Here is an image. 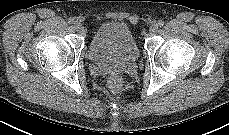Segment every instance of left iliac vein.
I'll list each match as a JSON object with an SVG mask.
<instances>
[{"instance_id":"left-iliac-vein-1","label":"left iliac vein","mask_w":229,"mask_h":135,"mask_svg":"<svg viewBox=\"0 0 229 135\" xmlns=\"http://www.w3.org/2000/svg\"><path fill=\"white\" fill-rule=\"evenodd\" d=\"M157 30H158V24L157 23H153L149 28V31H150L151 34L156 33Z\"/></svg>"}]
</instances>
